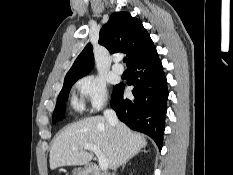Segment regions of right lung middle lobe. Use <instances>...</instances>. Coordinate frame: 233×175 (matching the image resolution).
<instances>
[{
  "label": "right lung middle lobe",
  "mask_w": 233,
  "mask_h": 175,
  "mask_svg": "<svg viewBox=\"0 0 233 175\" xmlns=\"http://www.w3.org/2000/svg\"><path fill=\"white\" fill-rule=\"evenodd\" d=\"M77 80L78 79L64 81L63 88L58 96L56 107H55V110L53 113V123H55V121H60L64 118L65 103L68 99L69 91H70L72 85Z\"/></svg>",
  "instance_id": "right-lung-middle-lobe-1"
}]
</instances>
